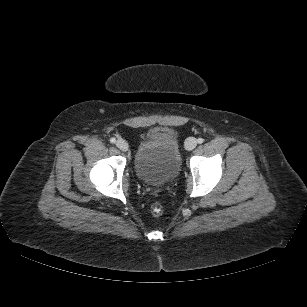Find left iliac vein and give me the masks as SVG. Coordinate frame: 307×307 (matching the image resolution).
<instances>
[{
	"instance_id": "obj_1",
	"label": "left iliac vein",
	"mask_w": 307,
	"mask_h": 307,
	"mask_svg": "<svg viewBox=\"0 0 307 307\" xmlns=\"http://www.w3.org/2000/svg\"><path fill=\"white\" fill-rule=\"evenodd\" d=\"M196 145H197V141H196V139L193 138V137H189V138H187V140L185 141V148H186V150H188V151L193 150V149L196 147Z\"/></svg>"
}]
</instances>
